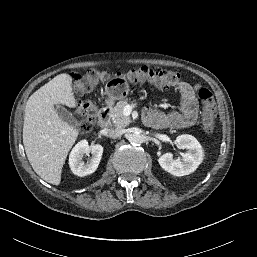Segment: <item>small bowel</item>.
<instances>
[{
  "instance_id": "1",
  "label": "small bowel",
  "mask_w": 257,
  "mask_h": 257,
  "mask_svg": "<svg viewBox=\"0 0 257 257\" xmlns=\"http://www.w3.org/2000/svg\"><path fill=\"white\" fill-rule=\"evenodd\" d=\"M176 88L180 92V111L162 113L154 109H147L144 114L147 125L157 128L177 129L189 127L196 123L198 118L196 98L198 86L181 81L176 85Z\"/></svg>"
}]
</instances>
